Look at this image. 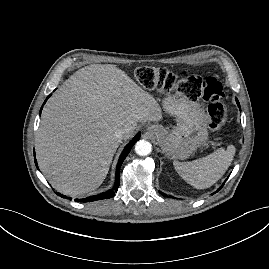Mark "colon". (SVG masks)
<instances>
[{
  "instance_id": "1",
  "label": "colon",
  "mask_w": 269,
  "mask_h": 269,
  "mask_svg": "<svg viewBox=\"0 0 269 269\" xmlns=\"http://www.w3.org/2000/svg\"><path fill=\"white\" fill-rule=\"evenodd\" d=\"M138 83L145 89L175 90L192 100L202 99L209 103L208 116L211 132H217L226 123L227 107L223 102L224 93L221 83L214 77L197 75H176L162 68L139 67L135 71Z\"/></svg>"
}]
</instances>
